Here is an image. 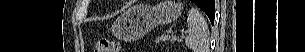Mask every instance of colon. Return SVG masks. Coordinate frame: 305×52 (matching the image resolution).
<instances>
[{
  "label": "colon",
  "mask_w": 305,
  "mask_h": 52,
  "mask_svg": "<svg viewBox=\"0 0 305 52\" xmlns=\"http://www.w3.org/2000/svg\"><path fill=\"white\" fill-rule=\"evenodd\" d=\"M122 46L119 42L110 39H100L95 47V52H121Z\"/></svg>",
  "instance_id": "colon-1"
}]
</instances>
